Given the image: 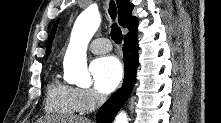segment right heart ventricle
<instances>
[{
  "label": "right heart ventricle",
  "instance_id": "e07e8e85",
  "mask_svg": "<svg viewBox=\"0 0 221 123\" xmlns=\"http://www.w3.org/2000/svg\"><path fill=\"white\" fill-rule=\"evenodd\" d=\"M45 111L48 114L71 116L79 112L75 88L52 76L46 88Z\"/></svg>",
  "mask_w": 221,
  "mask_h": 123
}]
</instances>
